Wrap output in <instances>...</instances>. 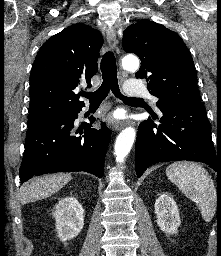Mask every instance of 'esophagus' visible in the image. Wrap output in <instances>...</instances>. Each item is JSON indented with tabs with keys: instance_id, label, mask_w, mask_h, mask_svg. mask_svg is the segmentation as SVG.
<instances>
[{
	"instance_id": "34e87169",
	"label": "esophagus",
	"mask_w": 221,
	"mask_h": 256,
	"mask_svg": "<svg viewBox=\"0 0 221 256\" xmlns=\"http://www.w3.org/2000/svg\"><path fill=\"white\" fill-rule=\"evenodd\" d=\"M107 41L112 49H115L117 46L116 32L113 28H109L106 32ZM131 124L130 121H115L113 123V128L117 131L121 130L126 125Z\"/></svg>"
}]
</instances>
